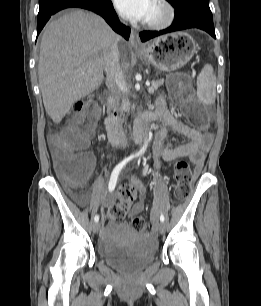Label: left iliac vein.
<instances>
[{
	"mask_svg": "<svg viewBox=\"0 0 261 306\" xmlns=\"http://www.w3.org/2000/svg\"><path fill=\"white\" fill-rule=\"evenodd\" d=\"M156 228L158 229V231L160 233H164L165 232V224L163 222H157L156 223Z\"/></svg>",
	"mask_w": 261,
	"mask_h": 306,
	"instance_id": "obj_1",
	"label": "left iliac vein"
}]
</instances>
